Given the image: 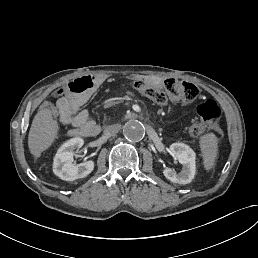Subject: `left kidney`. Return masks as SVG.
<instances>
[{
	"label": "left kidney",
	"mask_w": 258,
	"mask_h": 258,
	"mask_svg": "<svg viewBox=\"0 0 258 258\" xmlns=\"http://www.w3.org/2000/svg\"><path fill=\"white\" fill-rule=\"evenodd\" d=\"M170 151L171 155L177 158L179 163L183 165V169L179 174H177L175 170L165 168L163 171L164 176L173 183H190L194 179L196 172L195 152L184 143L171 144Z\"/></svg>",
	"instance_id": "obj_1"
}]
</instances>
